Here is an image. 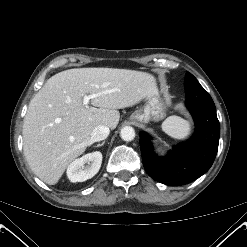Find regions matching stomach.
<instances>
[{
    "instance_id": "stomach-1",
    "label": "stomach",
    "mask_w": 247,
    "mask_h": 247,
    "mask_svg": "<svg viewBox=\"0 0 247 247\" xmlns=\"http://www.w3.org/2000/svg\"><path fill=\"white\" fill-rule=\"evenodd\" d=\"M167 104L161 94L156 90L153 94L145 98V105L130 116L131 121L147 123L150 120L158 121L162 119L166 112Z\"/></svg>"
}]
</instances>
